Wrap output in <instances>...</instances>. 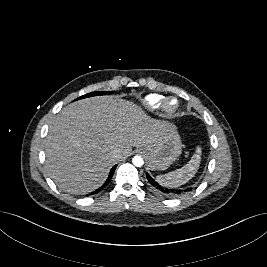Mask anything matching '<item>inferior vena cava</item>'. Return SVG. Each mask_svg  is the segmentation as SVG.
Instances as JSON below:
<instances>
[{
	"mask_svg": "<svg viewBox=\"0 0 267 267\" xmlns=\"http://www.w3.org/2000/svg\"><path fill=\"white\" fill-rule=\"evenodd\" d=\"M120 154H121V150H120V149H115V150L113 151V157H119Z\"/></svg>",
	"mask_w": 267,
	"mask_h": 267,
	"instance_id": "1",
	"label": "inferior vena cava"
}]
</instances>
